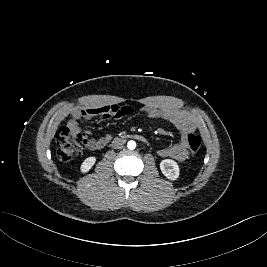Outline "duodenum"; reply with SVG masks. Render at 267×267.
<instances>
[{"label":"duodenum","mask_w":267,"mask_h":267,"mask_svg":"<svg viewBox=\"0 0 267 267\" xmlns=\"http://www.w3.org/2000/svg\"><path fill=\"white\" fill-rule=\"evenodd\" d=\"M124 138H132V139H136L142 142L146 141V138L140 134H128Z\"/></svg>","instance_id":"1"}]
</instances>
